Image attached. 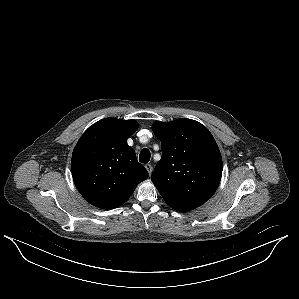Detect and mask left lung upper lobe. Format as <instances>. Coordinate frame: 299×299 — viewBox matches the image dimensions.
<instances>
[{"mask_svg":"<svg viewBox=\"0 0 299 299\" xmlns=\"http://www.w3.org/2000/svg\"><path fill=\"white\" fill-rule=\"evenodd\" d=\"M162 158L151 180L171 208L187 212L215 193L222 175L220 150L209 130L191 119L156 122Z\"/></svg>","mask_w":299,"mask_h":299,"instance_id":"obj_1","label":"left lung upper lobe"}]
</instances>
